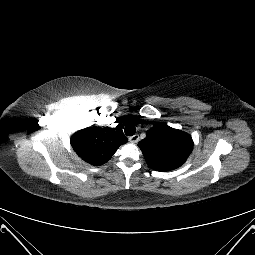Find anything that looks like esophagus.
Listing matches in <instances>:
<instances>
[{
  "mask_svg": "<svg viewBox=\"0 0 255 255\" xmlns=\"http://www.w3.org/2000/svg\"><path fill=\"white\" fill-rule=\"evenodd\" d=\"M129 141H130L131 143H137V142L139 141V135H138V134H135V135H133V136H130V137H129Z\"/></svg>",
  "mask_w": 255,
  "mask_h": 255,
  "instance_id": "34e87169",
  "label": "esophagus"
}]
</instances>
